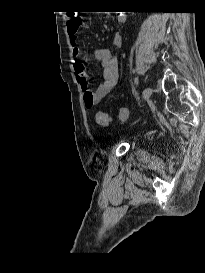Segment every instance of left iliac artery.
Wrapping results in <instances>:
<instances>
[{
	"label": "left iliac artery",
	"mask_w": 205,
	"mask_h": 273,
	"mask_svg": "<svg viewBox=\"0 0 205 273\" xmlns=\"http://www.w3.org/2000/svg\"><path fill=\"white\" fill-rule=\"evenodd\" d=\"M134 82H135L136 85H138V83H139L138 77H135Z\"/></svg>",
	"instance_id": "left-iliac-artery-1"
}]
</instances>
